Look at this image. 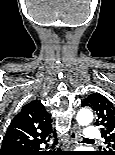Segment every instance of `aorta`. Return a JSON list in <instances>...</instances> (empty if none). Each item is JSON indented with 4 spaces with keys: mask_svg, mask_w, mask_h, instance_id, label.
I'll use <instances>...</instances> for the list:
<instances>
[{
    "mask_svg": "<svg viewBox=\"0 0 115 155\" xmlns=\"http://www.w3.org/2000/svg\"><path fill=\"white\" fill-rule=\"evenodd\" d=\"M77 122L82 125L86 126L90 124L93 120V113L88 108H83L77 113Z\"/></svg>",
    "mask_w": 115,
    "mask_h": 155,
    "instance_id": "1",
    "label": "aorta"
}]
</instances>
